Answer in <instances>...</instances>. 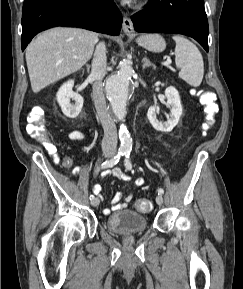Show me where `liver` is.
Wrapping results in <instances>:
<instances>
[{"label":"liver","mask_w":243,"mask_h":289,"mask_svg":"<svg viewBox=\"0 0 243 289\" xmlns=\"http://www.w3.org/2000/svg\"><path fill=\"white\" fill-rule=\"evenodd\" d=\"M98 35L86 29L56 27L44 31L26 48L34 93L78 71L91 58Z\"/></svg>","instance_id":"obj_1"}]
</instances>
